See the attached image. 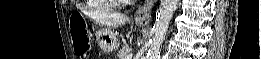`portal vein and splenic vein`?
<instances>
[{"instance_id": "portal-vein-and-splenic-vein-1", "label": "portal vein and splenic vein", "mask_w": 261, "mask_h": 59, "mask_svg": "<svg viewBox=\"0 0 261 59\" xmlns=\"http://www.w3.org/2000/svg\"><path fill=\"white\" fill-rule=\"evenodd\" d=\"M126 59H132V55L129 54V55L126 57Z\"/></svg>"}]
</instances>
